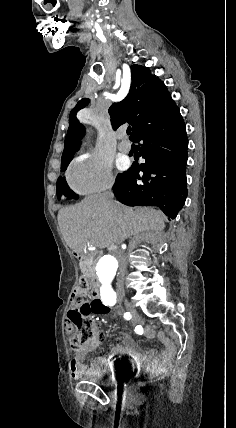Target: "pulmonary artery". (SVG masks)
Returning a JSON list of instances; mask_svg holds the SVG:
<instances>
[{"label":"pulmonary artery","mask_w":236,"mask_h":428,"mask_svg":"<svg viewBox=\"0 0 236 428\" xmlns=\"http://www.w3.org/2000/svg\"><path fill=\"white\" fill-rule=\"evenodd\" d=\"M118 149L122 153H129L132 149V146L129 141L122 140L118 145Z\"/></svg>","instance_id":"pulmonary-artery-1"}]
</instances>
